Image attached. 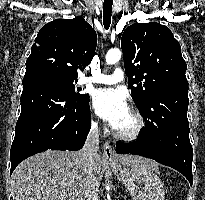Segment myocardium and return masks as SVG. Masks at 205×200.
Instances as JSON below:
<instances>
[{
	"label": "myocardium",
	"instance_id": "f54148a6",
	"mask_svg": "<svg viewBox=\"0 0 205 200\" xmlns=\"http://www.w3.org/2000/svg\"><path fill=\"white\" fill-rule=\"evenodd\" d=\"M129 112L132 114L135 120V126L131 131L120 132L114 129L113 133L115 137L124 141H134L143 134L145 129V120L142 114L135 108H131Z\"/></svg>",
	"mask_w": 205,
	"mask_h": 200
}]
</instances>
